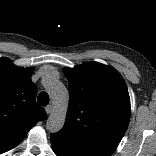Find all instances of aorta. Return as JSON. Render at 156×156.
Returning <instances> with one entry per match:
<instances>
[{
  "instance_id": "762f6f07",
  "label": "aorta",
  "mask_w": 156,
  "mask_h": 156,
  "mask_svg": "<svg viewBox=\"0 0 156 156\" xmlns=\"http://www.w3.org/2000/svg\"><path fill=\"white\" fill-rule=\"evenodd\" d=\"M46 89L53 105L52 112L46 122V129L51 133H57L65 123L69 94L66 87L59 81L48 82Z\"/></svg>"
}]
</instances>
